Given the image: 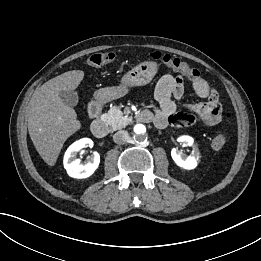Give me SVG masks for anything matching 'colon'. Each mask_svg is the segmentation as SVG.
I'll return each instance as SVG.
<instances>
[{
	"instance_id": "5ec220e1",
	"label": "colon",
	"mask_w": 261,
	"mask_h": 261,
	"mask_svg": "<svg viewBox=\"0 0 261 261\" xmlns=\"http://www.w3.org/2000/svg\"><path fill=\"white\" fill-rule=\"evenodd\" d=\"M151 58L154 60L162 61L166 66L173 69L174 71L184 75L185 77L193 80L199 77V71L190 66L187 62L173 57L169 54H161L160 52H153L151 53ZM115 59V54L112 52H97L91 54L87 58V64L91 67H100L105 64H108ZM229 117V114H227ZM226 144V136L223 133L216 135L211 142L212 147L215 150L222 149Z\"/></svg>"
}]
</instances>
